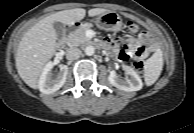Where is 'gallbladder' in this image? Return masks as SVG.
Listing matches in <instances>:
<instances>
[{"mask_svg":"<svg viewBox=\"0 0 194 133\" xmlns=\"http://www.w3.org/2000/svg\"><path fill=\"white\" fill-rule=\"evenodd\" d=\"M53 26H54L55 32L57 34V37L62 38L64 36V26H63V24L60 23V22H55L53 24Z\"/></svg>","mask_w":194,"mask_h":133,"instance_id":"gallbladder-1","label":"gallbladder"}]
</instances>
